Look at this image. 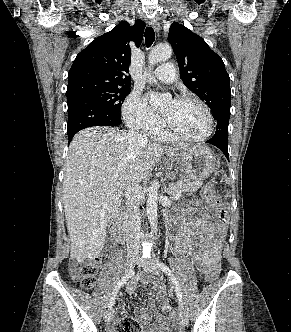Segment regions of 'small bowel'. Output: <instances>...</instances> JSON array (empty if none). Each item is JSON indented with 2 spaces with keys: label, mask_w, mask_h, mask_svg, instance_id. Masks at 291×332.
I'll return each instance as SVG.
<instances>
[{
  "label": "small bowel",
  "mask_w": 291,
  "mask_h": 332,
  "mask_svg": "<svg viewBox=\"0 0 291 332\" xmlns=\"http://www.w3.org/2000/svg\"><path fill=\"white\" fill-rule=\"evenodd\" d=\"M224 238L225 229L215 227L209 215L202 213L191 222L179 225L174 237V251L189 259L198 270L205 271L210 264L219 260ZM195 245H197V251L193 252ZM135 285L136 280H133L128 287L129 292L133 291ZM157 303L160 304L162 313L158 310ZM150 304L157 312V320L147 332H169L173 319L164 313L169 312L171 306L164 297L161 286L156 285L155 291L150 296ZM136 314L142 325L148 324L151 320V313L145 308H138Z\"/></svg>",
  "instance_id": "c3829d8e"
}]
</instances>
